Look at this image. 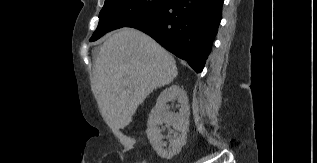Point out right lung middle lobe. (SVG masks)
I'll list each match as a JSON object with an SVG mask.
<instances>
[{
    "label": "right lung middle lobe",
    "instance_id": "right-lung-middle-lobe-1",
    "mask_svg": "<svg viewBox=\"0 0 317 163\" xmlns=\"http://www.w3.org/2000/svg\"><path fill=\"white\" fill-rule=\"evenodd\" d=\"M168 0H105L99 14V24L90 41L105 33L127 27L165 5Z\"/></svg>",
    "mask_w": 317,
    "mask_h": 163
}]
</instances>
